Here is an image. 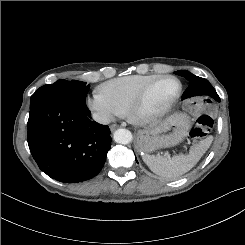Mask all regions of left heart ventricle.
Instances as JSON below:
<instances>
[{"label":"left heart ventricle","mask_w":245,"mask_h":245,"mask_svg":"<svg viewBox=\"0 0 245 245\" xmlns=\"http://www.w3.org/2000/svg\"><path fill=\"white\" fill-rule=\"evenodd\" d=\"M178 90V83L175 80H165L159 83L149 94L146 101V111L161 109L174 97Z\"/></svg>","instance_id":"left-heart-ventricle-1"}]
</instances>
